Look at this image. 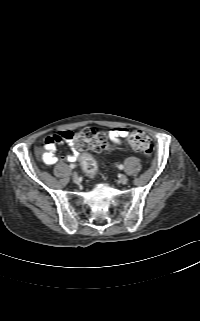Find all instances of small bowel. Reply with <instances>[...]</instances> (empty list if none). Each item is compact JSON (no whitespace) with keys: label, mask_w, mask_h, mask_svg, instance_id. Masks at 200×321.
<instances>
[{"label":"small bowel","mask_w":200,"mask_h":321,"mask_svg":"<svg viewBox=\"0 0 200 321\" xmlns=\"http://www.w3.org/2000/svg\"><path fill=\"white\" fill-rule=\"evenodd\" d=\"M72 131H59L49 135L43 145L42 159L47 165H54L58 161V157L55 155L57 144L67 143L71 148V153L65 156V160L69 162H75L79 158V148L75 141L70 138ZM128 130L126 128H113L108 133L110 142L119 147L122 144V140L128 136Z\"/></svg>","instance_id":"obj_1"}]
</instances>
